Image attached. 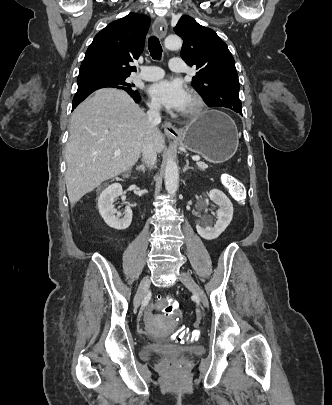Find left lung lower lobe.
<instances>
[{
	"mask_svg": "<svg viewBox=\"0 0 332 405\" xmlns=\"http://www.w3.org/2000/svg\"><path fill=\"white\" fill-rule=\"evenodd\" d=\"M235 112L242 114V109L238 110V111H235Z\"/></svg>",
	"mask_w": 332,
	"mask_h": 405,
	"instance_id": "left-lung-lower-lobe-1",
	"label": "left lung lower lobe"
}]
</instances>
